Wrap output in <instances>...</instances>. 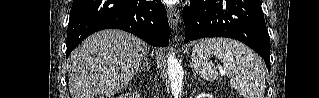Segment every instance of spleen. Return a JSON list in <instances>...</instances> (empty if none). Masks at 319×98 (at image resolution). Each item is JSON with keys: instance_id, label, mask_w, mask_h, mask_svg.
<instances>
[{"instance_id": "obj_1", "label": "spleen", "mask_w": 319, "mask_h": 98, "mask_svg": "<svg viewBox=\"0 0 319 98\" xmlns=\"http://www.w3.org/2000/svg\"><path fill=\"white\" fill-rule=\"evenodd\" d=\"M210 55L222 63V70L230 77L232 87L244 98H264L265 69L262 60L248 47L228 38L198 41L192 50V64L205 80L218 78L216 67L208 61Z\"/></svg>"}]
</instances>
